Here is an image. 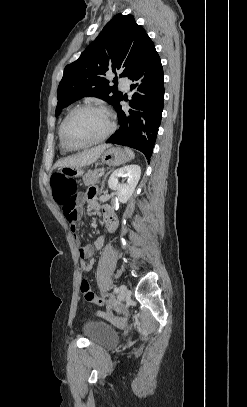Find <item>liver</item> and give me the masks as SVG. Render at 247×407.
Here are the masks:
<instances>
[{
	"mask_svg": "<svg viewBox=\"0 0 247 407\" xmlns=\"http://www.w3.org/2000/svg\"><path fill=\"white\" fill-rule=\"evenodd\" d=\"M107 147H109V145L102 144L95 148L67 157L58 161L56 167H83L91 165L100 157L101 153Z\"/></svg>",
	"mask_w": 247,
	"mask_h": 407,
	"instance_id": "6515ba94",
	"label": "liver"
}]
</instances>
